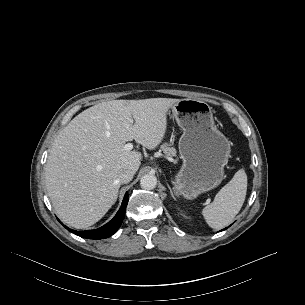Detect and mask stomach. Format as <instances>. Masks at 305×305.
Segmentation results:
<instances>
[{
    "mask_svg": "<svg viewBox=\"0 0 305 305\" xmlns=\"http://www.w3.org/2000/svg\"><path fill=\"white\" fill-rule=\"evenodd\" d=\"M172 113L183 130L179 140L183 164L175 175V192L194 199L222 182L230 143L217 129L212 108L206 102L181 99L172 106Z\"/></svg>",
    "mask_w": 305,
    "mask_h": 305,
    "instance_id": "1",
    "label": "stomach"
}]
</instances>
